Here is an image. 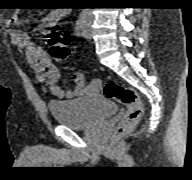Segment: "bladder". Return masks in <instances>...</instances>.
<instances>
[{
    "label": "bladder",
    "mask_w": 192,
    "mask_h": 180,
    "mask_svg": "<svg viewBox=\"0 0 192 180\" xmlns=\"http://www.w3.org/2000/svg\"><path fill=\"white\" fill-rule=\"evenodd\" d=\"M48 109L54 120L72 129H80L114 115L117 106L101 95L68 101H51Z\"/></svg>",
    "instance_id": "bladder-1"
}]
</instances>
